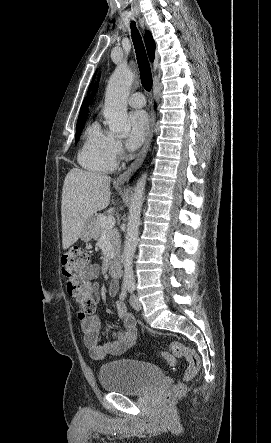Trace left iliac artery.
<instances>
[{"label":"left iliac artery","instance_id":"44dca946","mask_svg":"<svg viewBox=\"0 0 271 443\" xmlns=\"http://www.w3.org/2000/svg\"><path fill=\"white\" fill-rule=\"evenodd\" d=\"M127 288L129 292H133L135 290V286L133 284H129Z\"/></svg>","mask_w":271,"mask_h":443}]
</instances>
